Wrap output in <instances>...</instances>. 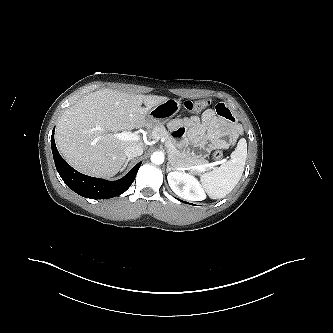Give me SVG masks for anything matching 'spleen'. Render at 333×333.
Instances as JSON below:
<instances>
[{
  "mask_svg": "<svg viewBox=\"0 0 333 333\" xmlns=\"http://www.w3.org/2000/svg\"><path fill=\"white\" fill-rule=\"evenodd\" d=\"M246 158L247 142L242 138L226 163L201 175V183L210 198H223L235 188L244 171Z\"/></svg>",
  "mask_w": 333,
  "mask_h": 333,
  "instance_id": "obj_1",
  "label": "spleen"
}]
</instances>
